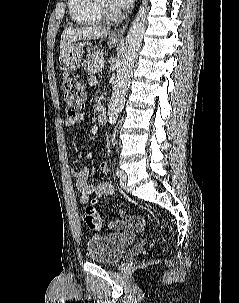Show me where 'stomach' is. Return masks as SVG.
I'll return each instance as SVG.
<instances>
[{"label": "stomach", "mask_w": 239, "mask_h": 303, "mask_svg": "<svg viewBox=\"0 0 239 303\" xmlns=\"http://www.w3.org/2000/svg\"><path fill=\"white\" fill-rule=\"evenodd\" d=\"M118 40L108 39V45L114 46ZM83 56V43H72L68 48L63 49L60 54L61 65L68 70H76L81 66Z\"/></svg>", "instance_id": "0dacf381"}]
</instances>
